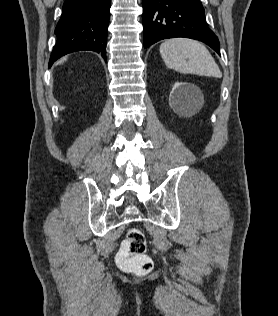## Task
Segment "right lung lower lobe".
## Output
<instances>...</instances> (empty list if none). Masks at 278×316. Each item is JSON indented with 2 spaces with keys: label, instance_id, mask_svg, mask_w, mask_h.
Segmentation results:
<instances>
[{
  "label": "right lung lower lobe",
  "instance_id": "right-lung-lower-lobe-1",
  "mask_svg": "<svg viewBox=\"0 0 278 316\" xmlns=\"http://www.w3.org/2000/svg\"><path fill=\"white\" fill-rule=\"evenodd\" d=\"M110 6L111 0H65L49 67L58 58L80 50L101 53L106 60Z\"/></svg>",
  "mask_w": 278,
  "mask_h": 316
}]
</instances>
